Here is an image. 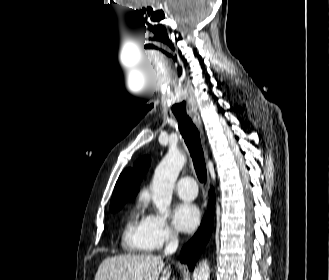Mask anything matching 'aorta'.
Wrapping results in <instances>:
<instances>
[{
  "instance_id": "obj_1",
  "label": "aorta",
  "mask_w": 329,
  "mask_h": 280,
  "mask_svg": "<svg viewBox=\"0 0 329 280\" xmlns=\"http://www.w3.org/2000/svg\"><path fill=\"white\" fill-rule=\"evenodd\" d=\"M186 162V157L177 149H170L157 166L152 179V200L163 217L169 216V208L177 177ZM210 268L203 260L193 271V280H208Z\"/></svg>"
}]
</instances>
